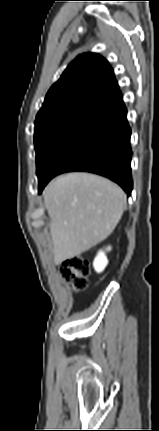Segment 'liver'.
<instances>
[{
  "label": "liver",
  "mask_w": 159,
  "mask_h": 431,
  "mask_svg": "<svg viewBox=\"0 0 159 431\" xmlns=\"http://www.w3.org/2000/svg\"><path fill=\"white\" fill-rule=\"evenodd\" d=\"M50 217L56 265L106 239L119 223L126 195L110 180L88 173H70L52 180L43 192Z\"/></svg>",
  "instance_id": "1"
}]
</instances>
